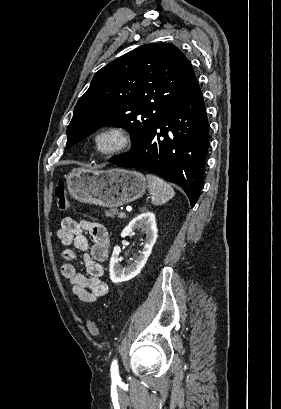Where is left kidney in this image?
<instances>
[{"label":"left kidney","instance_id":"obj_1","mask_svg":"<svg viewBox=\"0 0 281 409\" xmlns=\"http://www.w3.org/2000/svg\"><path fill=\"white\" fill-rule=\"evenodd\" d=\"M135 229H142L146 235V241L142 253H140L139 257H137L132 265L122 267L119 263L121 249L116 245L113 249L109 265V273L112 283H123V281H130V279L136 277L141 269H143L149 255H151L158 233L155 215H153L151 211H147V209H142L141 215H137V217H134V219L128 223L127 227L123 229L120 237H122V239L128 237V235H131Z\"/></svg>","mask_w":281,"mask_h":409}]
</instances>
